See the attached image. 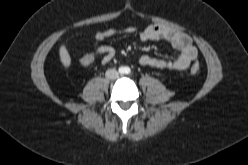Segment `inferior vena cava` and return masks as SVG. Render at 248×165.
I'll return each mask as SVG.
<instances>
[{"label":"inferior vena cava","mask_w":248,"mask_h":165,"mask_svg":"<svg viewBox=\"0 0 248 165\" xmlns=\"http://www.w3.org/2000/svg\"><path fill=\"white\" fill-rule=\"evenodd\" d=\"M106 78L114 80L119 77V73L116 69H108L105 73Z\"/></svg>","instance_id":"obj_1"}]
</instances>
